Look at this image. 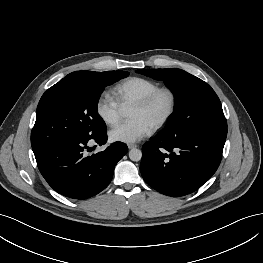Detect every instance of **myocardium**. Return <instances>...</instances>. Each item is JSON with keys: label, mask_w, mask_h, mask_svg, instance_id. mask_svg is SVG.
Masks as SVG:
<instances>
[{"label": "myocardium", "mask_w": 263, "mask_h": 263, "mask_svg": "<svg viewBox=\"0 0 263 263\" xmlns=\"http://www.w3.org/2000/svg\"><path fill=\"white\" fill-rule=\"evenodd\" d=\"M161 95H167L169 98V107L167 112L160 118L153 126L152 131H157L163 128L173 117L177 108V95L175 91L168 87H159L145 98L133 104V107L139 109H148L153 105V103L158 99Z\"/></svg>", "instance_id": "myocardium-1"}]
</instances>
